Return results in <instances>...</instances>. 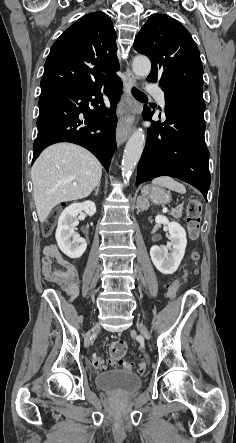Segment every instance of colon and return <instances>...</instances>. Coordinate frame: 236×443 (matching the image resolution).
<instances>
[{"label":"colon","mask_w":236,"mask_h":443,"mask_svg":"<svg viewBox=\"0 0 236 443\" xmlns=\"http://www.w3.org/2000/svg\"><path fill=\"white\" fill-rule=\"evenodd\" d=\"M201 212L202 205L198 200H192L188 203L187 206V226L189 236L192 240H196L200 234V221H201ZM56 222V215L52 214L50 218L44 223L43 232L48 235L52 232L54 225ZM191 261L196 264L200 260V254L197 250L192 251L191 253ZM178 288V282L173 283L170 286L169 293L171 296H174L176 290ZM127 342L122 339H118L113 341L109 346V357H110V366L112 367H120L123 369H131L133 367V362L125 360L124 357L127 353ZM91 364L95 369L102 370L106 368L105 362L103 358L99 354H94L91 357ZM147 369V364L144 361H141L139 364V370L144 372Z\"/></svg>","instance_id":"1"}]
</instances>
